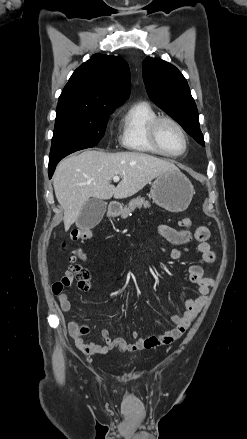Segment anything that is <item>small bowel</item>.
Segmentation results:
<instances>
[{
  "mask_svg": "<svg viewBox=\"0 0 247 439\" xmlns=\"http://www.w3.org/2000/svg\"><path fill=\"white\" fill-rule=\"evenodd\" d=\"M160 235L173 245H185L194 237L198 241L197 251L204 263H212L216 259L215 252L209 244L210 231L207 227H198L194 235L188 230L176 229L168 225H160L158 228ZM182 250L173 249L169 257L173 260L181 258ZM189 281L196 287L201 294L196 299H187L184 302V309L181 314H174L171 317L172 327L161 334L151 335L147 337L141 336L137 331H132L134 342H128L123 338H113L107 329L100 330V336L104 341L103 345L85 340V336L90 332L91 328L87 325H80L74 318L68 321V331L74 339L76 346L86 355H104L112 349H118L120 352L138 351L153 349L163 345H169L179 339L186 329L190 326L194 318L199 314L208 300V294L213 285V280L204 277V269L198 264L191 265L188 269ZM73 274L66 272L63 277L55 282L52 291L56 295L61 310L65 313L72 311V306L68 295L64 292V288L73 282Z\"/></svg>",
  "mask_w": 247,
  "mask_h": 439,
  "instance_id": "small-bowel-1",
  "label": "small bowel"
}]
</instances>
